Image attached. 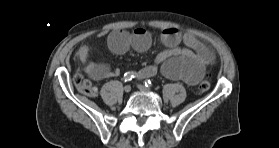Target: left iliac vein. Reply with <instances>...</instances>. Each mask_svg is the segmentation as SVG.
I'll use <instances>...</instances> for the list:
<instances>
[{
    "label": "left iliac vein",
    "mask_w": 279,
    "mask_h": 148,
    "mask_svg": "<svg viewBox=\"0 0 279 148\" xmlns=\"http://www.w3.org/2000/svg\"><path fill=\"white\" fill-rule=\"evenodd\" d=\"M137 87L142 92H149L150 91V89L148 87H146L144 85H141V84L137 85Z\"/></svg>",
    "instance_id": "obj_1"
}]
</instances>
